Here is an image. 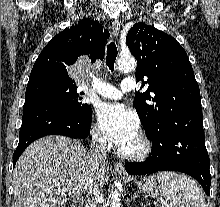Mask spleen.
<instances>
[{"label":"spleen","instance_id":"spleen-1","mask_svg":"<svg viewBox=\"0 0 220 207\" xmlns=\"http://www.w3.org/2000/svg\"><path fill=\"white\" fill-rule=\"evenodd\" d=\"M157 179L171 207H205L203 190L192 178L174 172H159Z\"/></svg>","mask_w":220,"mask_h":207}]
</instances>
